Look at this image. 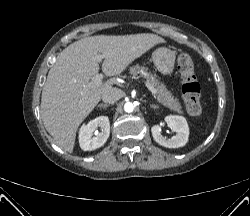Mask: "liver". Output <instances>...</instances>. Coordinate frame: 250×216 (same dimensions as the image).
<instances>
[{
	"mask_svg": "<svg viewBox=\"0 0 250 216\" xmlns=\"http://www.w3.org/2000/svg\"><path fill=\"white\" fill-rule=\"evenodd\" d=\"M164 39L149 33L80 39L57 56L42 90L41 117L55 143L72 153L78 127L116 83L114 78L94 85L99 71L97 55L103 56L102 70L108 76L121 74L129 64Z\"/></svg>",
	"mask_w": 250,
	"mask_h": 216,
	"instance_id": "6515ba94",
	"label": "liver"
}]
</instances>
